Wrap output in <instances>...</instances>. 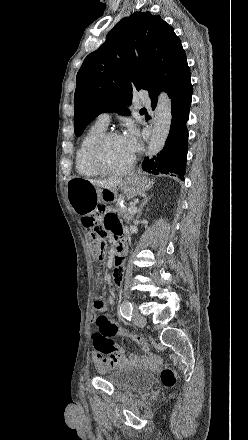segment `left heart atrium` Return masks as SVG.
Masks as SVG:
<instances>
[{
	"mask_svg": "<svg viewBox=\"0 0 248 440\" xmlns=\"http://www.w3.org/2000/svg\"><path fill=\"white\" fill-rule=\"evenodd\" d=\"M123 140L125 142V145L129 152L134 156V154L139 149V139H138V133L137 130L134 127H130L123 137Z\"/></svg>",
	"mask_w": 248,
	"mask_h": 440,
	"instance_id": "1",
	"label": "left heart atrium"
}]
</instances>
